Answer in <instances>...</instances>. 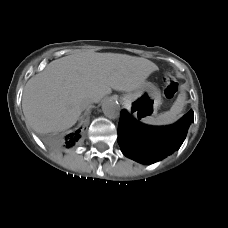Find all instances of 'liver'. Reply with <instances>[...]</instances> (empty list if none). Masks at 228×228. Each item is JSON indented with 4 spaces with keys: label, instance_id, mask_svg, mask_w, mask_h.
Returning <instances> with one entry per match:
<instances>
[{
    "label": "liver",
    "instance_id": "obj_1",
    "mask_svg": "<svg viewBox=\"0 0 228 228\" xmlns=\"http://www.w3.org/2000/svg\"><path fill=\"white\" fill-rule=\"evenodd\" d=\"M157 69L145 58L114 53H79L54 60L26 83V123L37 133L66 130L81 115L84 98L98 103L111 89L132 92Z\"/></svg>",
    "mask_w": 228,
    "mask_h": 228
}]
</instances>
